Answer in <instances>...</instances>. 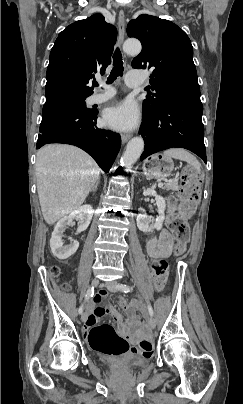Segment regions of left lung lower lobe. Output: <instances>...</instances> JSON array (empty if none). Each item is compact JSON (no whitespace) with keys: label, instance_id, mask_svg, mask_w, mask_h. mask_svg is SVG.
Returning a JSON list of instances; mask_svg holds the SVG:
<instances>
[{"label":"left lung lower lobe","instance_id":"obj_1","mask_svg":"<svg viewBox=\"0 0 243 404\" xmlns=\"http://www.w3.org/2000/svg\"><path fill=\"white\" fill-rule=\"evenodd\" d=\"M201 102L172 101L151 118L143 117L140 133L145 142L140 161L172 147L188 149L206 163Z\"/></svg>","mask_w":243,"mask_h":404}]
</instances>
